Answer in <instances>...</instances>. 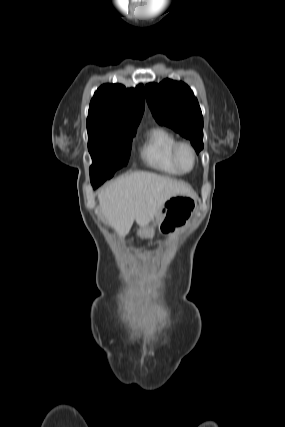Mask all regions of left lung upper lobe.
Wrapping results in <instances>:
<instances>
[{
    "mask_svg": "<svg viewBox=\"0 0 285 427\" xmlns=\"http://www.w3.org/2000/svg\"><path fill=\"white\" fill-rule=\"evenodd\" d=\"M148 105L157 122L189 139L197 153L203 149V116L192 90L166 79L145 87Z\"/></svg>",
    "mask_w": 285,
    "mask_h": 427,
    "instance_id": "left-lung-upper-lobe-1",
    "label": "left lung upper lobe"
}]
</instances>
